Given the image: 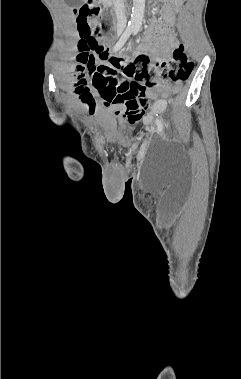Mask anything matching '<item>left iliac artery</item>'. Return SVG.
Wrapping results in <instances>:
<instances>
[{"label":"left iliac artery","instance_id":"1","mask_svg":"<svg viewBox=\"0 0 241 379\" xmlns=\"http://www.w3.org/2000/svg\"><path fill=\"white\" fill-rule=\"evenodd\" d=\"M137 32H138V28H135V29L133 30V34L135 35V34H137ZM156 125H157L158 133H159V134H162V131H163V124H162L161 120L158 119V118L156 119Z\"/></svg>","mask_w":241,"mask_h":379}]
</instances>
